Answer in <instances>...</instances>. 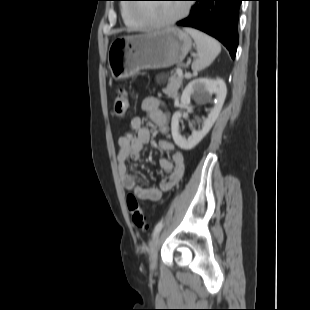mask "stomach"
<instances>
[{
	"label": "stomach",
	"instance_id": "obj_1",
	"mask_svg": "<svg viewBox=\"0 0 310 310\" xmlns=\"http://www.w3.org/2000/svg\"><path fill=\"white\" fill-rule=\"evenodd\" d=\"M191 48V37L176 27L119 37L110 44L108 67L112 78L126 79L140 70L168 68L180 63Z\"/></svg>",
	"mask_w": 310,
	"mask_h": 310
}]
</instances>
